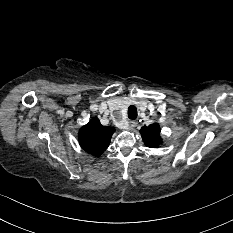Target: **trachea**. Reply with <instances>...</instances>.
<instances>
[{"mask_svg":"<svg viewBox=\"0 0 233 233\" xmlns=\"http://www.w3.org/2000/svg\"><path fill=\"white\" fill-rule=\"evenodd\" d=\"M128 118L134 120L137 118V108L133 105L128 108Z\"/></svg>","mask_w":233,"mask_h":233,"instance_id":"trachea-1","label":"trachea"}]
</instances>
